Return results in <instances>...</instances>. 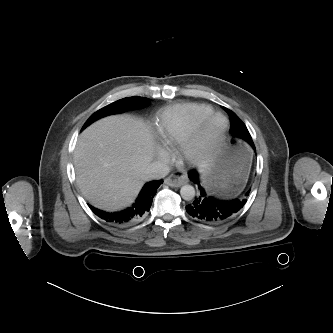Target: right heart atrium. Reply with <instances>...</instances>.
Wrapping results in <instances>:
<instances>
[{
	"instance_id": "obj_1",
	"label": "right heart atrium",
	"mask_w": 333,
	"mask_h": 333,
	"mask_svg": "<svg viewBox=\"0 0 333 333\" xmlns=\"http://www.w3.org/2000/svg\"><path fill=\"white\" fill-rule=\"evenodd\" d=\"M156 154H157L158 159L162 162H166L169 159L168 152L162 147H158L156 149Z\"/></svg>"
}]
</instances>
